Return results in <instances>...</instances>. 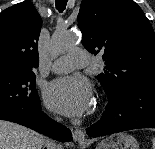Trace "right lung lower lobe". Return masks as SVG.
Returning <instances> with one entry per match:
<instances>
[{
	"instance_id": "98d812e1",
	"label": "right lung lower lobe",
	"mask_w": 155,
	"mask_h": 149,
	"mask_svg": "<svg viewBox=\"0 0 155 149\" xmlns=\"http://www.w3.org/2000/svg\"><path fill=\"white\" fill-rule=\"evenodd\" d=\"M0 120L18 123L60 142L72 140L71 131L41 112V104L27 117H15L0 113Z\"/></svg>"
}]
</instances>
